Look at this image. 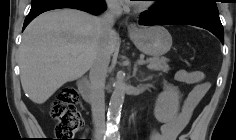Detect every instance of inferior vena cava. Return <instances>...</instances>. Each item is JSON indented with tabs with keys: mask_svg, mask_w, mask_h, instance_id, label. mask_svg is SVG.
Wrapping results in <instances>:
<instances>
[{
	"mask_svg": "<svg viewBox=\"0 0 236 140\" xmlns=\"http://www.w3.org/2000/svg\"><path fill=\"white\" fill-rule=\"evenodd\" d=\"M122 14V8L117 0L107 1V11L100 18L101 43L90 69L91 110L96 132L101 136L105 132V80L110 62V41L114 35L113 25L116 17Z\"/></svg>",
	"mask_w": 236,
	"mask_h": 140,
	"instance_id": "1",
	"label": "inferior vena cava"
}]
</instances>
